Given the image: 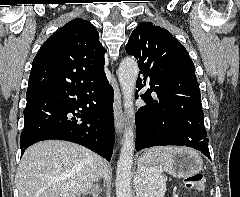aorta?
Segmentation results:
<instances>
[{"label":"aorta","mask_w":240,"mask_h":197,"mask_svg":"<svg viewBox=\"0 0 240 197\" xmlns=\"http://www.w3.org/2000/svg\"><path fill=\"white\" fill-rule=\"evenodd\" d=\"M138 72V64L133 58L126 57L121 61L118 79L123 93L126 126L116 169V197H132L131 176L135 145L133 96Z\"/></svg>","instance_id":"762f6f07"}]
</instances>
